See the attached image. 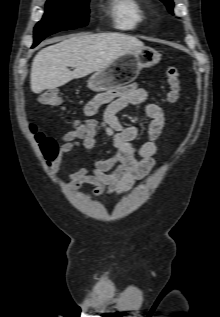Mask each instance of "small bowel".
<instances>
[{
    "instance_id": "1",
    "label": "small bowel",
    "mask_w": 220,
    "mask_h": 317,
    "mask_svg": "<svg viewBox=\"0 0 220 317\" xmlns=\"http://www.w3.org/2000/svg\"><path fill=\"white\" fill-rule=\"evenodd\" d=\"M103 105L106 106L103 119H94ZM129 105H144L150 118L145 140L139 144L135 141L141 136L140 128L124 125L118 118V113ZM83 112L86 119L63 136L58 159L52 168L57 170L59 159L71 150L80 149L90 154L100 133L107 137L114 153L68 175L69 186L78 189L86 184L92 185L94 197H107L125 192L147 176L155 164L158 140L165 125L162 108L149 100L147 91L137 84L104 91L94 96Z\"/></svg>"
}]
</instances>
